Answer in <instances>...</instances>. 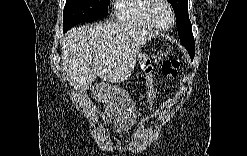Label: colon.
I'll return each instance as SVG.
<instances>
[{
  "label": "colon",
  "mask_w": 247,
  "mask_h": 156,
  "mask_svg": "<svg viewBox=\"0 0 247 156\" xmlns=\"http://www.w3.org/2000/svg\"><path fill=\"white\" fill-rule=\"evenodd\" d=\"M179 66V59L167 60L162 64V74L169 79H175L178 74Z\"/></svg>",
  "instance_id": "5ec220e1"
}]
</instances>
